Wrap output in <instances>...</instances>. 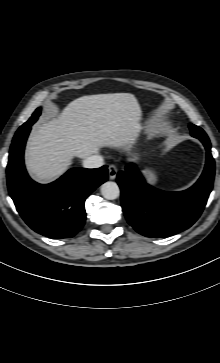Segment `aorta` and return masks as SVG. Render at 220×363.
Masks as SVG:
<instances>
[{"mask_svg":"<svg viewBox=\"0 0 220 363\" xmlns=\"http://www.w3.org/2000/svg\"><path fill=\"white\" fill-rule=\"evenodd\" d=\"M101 194L105 199L114 200L120 195L119 186L115 182L107 181L101 185Z\"/></svg>","mask_w":220,"mask_h":363,"instance_id":"obj_1","label":"aorta"}]
</instances>
